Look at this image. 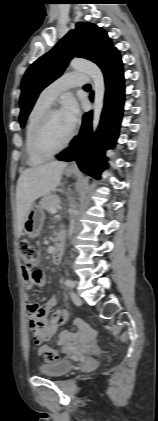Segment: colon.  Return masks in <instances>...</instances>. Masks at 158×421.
I'll use <instances>...</instances> for the list:
<instances>
[{
    "label": "colon",
    "instance_id": "obj_1",
    "mask_svg": "<svg viewBox=\"0 0 158 421\" xmlns=\"http://www.w3.org/2000/svg\"><path fill=\"white\" fill-rule=\"evenodd\" d=\"M19 251L22 260L23 271H35L39 264V253L37 249L27 239H22L19 242ZM38 353L44 361L49 363L56 361L59 356L57 350L48 346H41Z\"/></svg>",
    "mask_w": 158,
    "mask_h": 421
}]
</instances>
